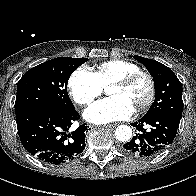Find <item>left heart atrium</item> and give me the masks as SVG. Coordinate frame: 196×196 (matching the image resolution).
I'll list each match as a JSON object with an SVG mask.
<instances>
[{
    "instance_id": "1",
    "label": "left heart atrium",
    "mask_w": 196,
    "mask_h": 196,
    "mask_svg": "<svg viewBox=\"0 0 196 196\" xmlns=\"http://www.w3.org/2000/svg\"><path fill=\"white\" fill-rule=\"evenodd\" d=\"M133 105L123 97L112 96L94 103L84 111V117L91 123L106 124L125 120L134 112Z\"/></svg>"
}]
</instances>
